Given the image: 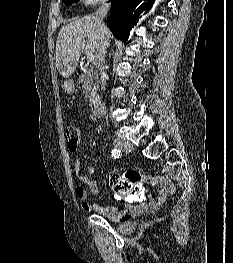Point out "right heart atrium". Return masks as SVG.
I'll return each instance as SVG.
<instances>
[{"instance_id": "1", "label": "right heart atrium", "mask_w": 233, "mask_h": 263, "mask_svg": "<svg viewBox=\"0 0 233 263\" xmlns=\"http://www.w3.org/2000/svg\"><path fill=\"white\" fill-rule=\"evenodd\" d=\"M103 1L105 0H81V2L85 5H92Z\"/></svg>"}]
</instances>
